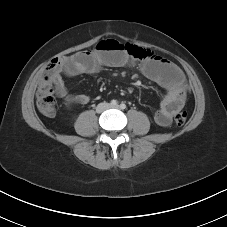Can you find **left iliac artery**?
I'll return each instance as SVG.
<instances>
[{
	"instance_id": "44dca946",
	"label": "left iliac artery",
	"mask_w": 227,
	"mask_h": 227,
	"mask_svg": "<svg viewBox=\"0 0 227 227\" xmlns=\"http://www.w3.org/2000/svg\"><path fill=\"white\" fill-rule=\"evenodd\" d=\"M120 108H121L122 110H124V109H126V105H125L124 103H122V104H120Z\"/></svg>"
}]
</instances>
